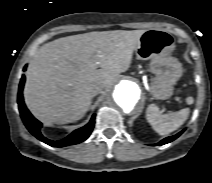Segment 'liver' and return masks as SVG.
Segmentation results:
<instances>
[{
  "label": "liver",
  "instance_id": "1",
  "mask_svg": "<svg viewBox=\"0 0 212 183\" xmlns=\"http://www.w3.org/2000/svg\"><path fill=\"white\" fill-rule=\"evenodd\" d=\"M145 31L89 32L44 44L27 71L24 99L28 109L47 123L81 119L90 107L95 86H108L130 68Z\"/></svg>",
  "mask_w": 212,
  "mask_h": 183
}]
</instances>
